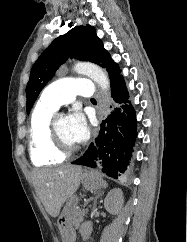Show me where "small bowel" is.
Segmentation results:
<instances>
[{
    "label": "small bowel",
    "mask_w": 187,
    "mask_h": 242,
    "mask_svg": "<svg viewBox=\"0 0 187 242\" xmlns=\"http://www.w3.org/2000/svg\"><path fill=\"white\" fill-rule=\"evenodd\" d=\"M80 233L84 238L89 237V235L91 234V226L87 223L82 224V226L80 227Z\"/></svg>",
    "instance_id": "c3829d8e"
}]
</instances>
